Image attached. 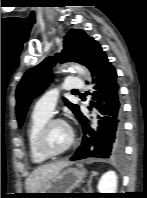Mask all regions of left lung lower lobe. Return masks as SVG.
Instances as JSON below:
<instances>
[{
    "label": "left lung lower lobe",
    "mask_w": 147,
    "mask_h": 198,
    "mask_svg": "<svg viewBox=\"0 0 147 198\" xmlns=\"http://www.w3.org/2000/svg\"><path fill=\"white\" fill-rule=\"evenodd\" d=\"M87 68L94 78L96 91L93 98L97 101L96 107L100 112L98 116L99 127L96 132L90 128V120L81 112L78 119L82 124L84 134L91 136L86 140L83 137L82 145L71 160L81 158H119L124 151V125L123 111L119 100V85L117 73L112 64L108 61L101 46L94 41L87 60ZM95 146L90 151V146Z\"/></svg>",
    "instance_id": "left-lung-lower-lobe-1"
}]
</instances>
